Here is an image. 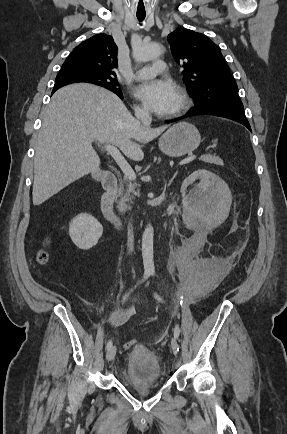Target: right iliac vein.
<instances>
[{
    "label": "right iliac vein",
    "mask_w": 287,
    "mask_h": 434,
    "mask_svg": "<svg viewBox=\"0 0 287 434\" xmlns=\"http://www.w3.org/2000/svg\"><path fill=\"white\" fill-rule=\"evenodd\" d=\"M116 355V347L112 346L106 353V360L108 362L112 361Z\"/></svg>",
    "instance_id": "63e3f726"
}]
</instances>
